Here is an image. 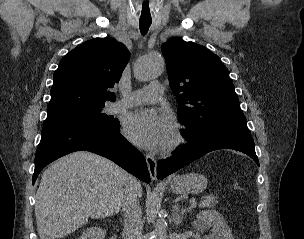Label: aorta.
Returning a JSON list of instances; mask_svg holds the SVG:
<instances>
[{
    "label": "aorta",
    "mask_w": 304,
    "mask_h": 239,
    "mask_svg": "<svg viewBox=\"0 0 304 239\" xmlns=\"http://www.w3.org/2000/svg\"><path fill=\"white\" fill-rule=\"evenodd\" d=\"M164 70V60L155 55L140 59L135 66V76L141 81L157 78ZM154 239H168L167 223L163 218H157L152 232Z\"/></svg>",
    "instance_id": "762f6f07"
}]
</instances>
